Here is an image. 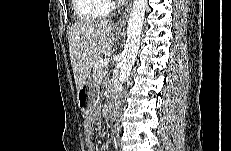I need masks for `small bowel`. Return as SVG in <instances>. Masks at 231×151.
<instances>
[{
	"instance_id": "small-bowel-1",
	"label": "small bowel",
	"mask_w": 231,
	"mask_h": 151,
	"mask_svg": "<svg viewBox=\"0 0 231 151\" xmlns=\"http://www.w3.org/2000/svg\"><path fill=\"white\" fill-rule=\"evenodd\" d=\"M99 117V113L96 112L89 118H87L84 122V128H85V141H86V147L87 151H94V144L91 139L92 134V128H93V122L95 119Z\"/></svg>"
}]
</instances>
